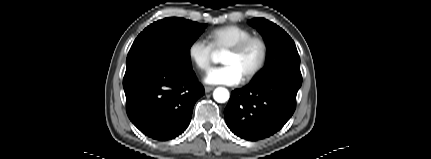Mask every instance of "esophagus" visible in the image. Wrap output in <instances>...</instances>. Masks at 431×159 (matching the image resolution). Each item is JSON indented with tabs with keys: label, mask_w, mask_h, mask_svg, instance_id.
Segmentation results:
<instances>
[{
	"label": "esophagus",
	"mask_w": 431,
	"mask_h": 159,
	"mask_svg": "<svg viewBox=\"0 0 431 159\" xmlns=\"http://www.w3.org/2000/svg\"><path fill=\"white\" fill-rule=\"evenodd\" d=\"M213 89H214V87H211V86H205V92H206V93L211 92Z\"/></svg>",
	"instance_id": "esophagus-1"
}]
</instances>
